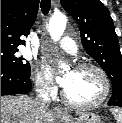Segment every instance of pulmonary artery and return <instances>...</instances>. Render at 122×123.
Returning a JSON list of instances; mask_svg holds the SVG:
<instances>
[{
	"mask_svg": "<svg viewBox=\"0 0 122 123\" xmlns=\"http://www.w3.org/2000/svg\"><path fill=\"white\" fill-rule=\"evenodd\" d=\"M59 46L69 54L75 55L77 53V45L73 39L70 37H63L59 41Z\"/></svg>",
	"mask_w": 122,
	"mask_h": 123,
	"instance_id": "1",
	"label": "pulmonary artery"
}]
</instances>
